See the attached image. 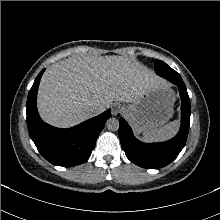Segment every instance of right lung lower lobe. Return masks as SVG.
I'll list each match as a JSON object with an SVG mask.
<instances>
[{
    "label": "right lung lower lobe",
    "instance_id": "1",
    "mask_svg": "<svg viewBox=\"0 0 220 220\" xmlns=\"http://www.w3.org/2000/svg\"><path fill=\"white\" fill-rule=\"evenodd\" d=\"M44 70L39 73L28 94L26 109L30 137L41 155L53 165H80L90 157L96 140L110 117V109L68 129L55 128L43 122L37 111L36 99Z\"/></svg>",
    "mask_w": 220,
    "mask_h": 220
}]
</instances>
